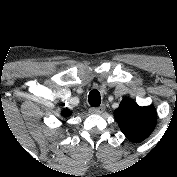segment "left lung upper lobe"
<instances>
[{"label":"left lung upper lobe","mask_w":177,"mask_h":177,"mask_svg":"<svg viewBox=\"0 0 177 177\" xmlns=\"http://www.w3.org/2000/svg\"><path fill=\"white\" fill-rule=\"evenodd\" d=\"M122 133L133 142H141L154 130L157 113L153 106L140 107L130 98L122 100L114 111Z\"/></svg>","instance_id":"5c2ea615"}]
</instances>
